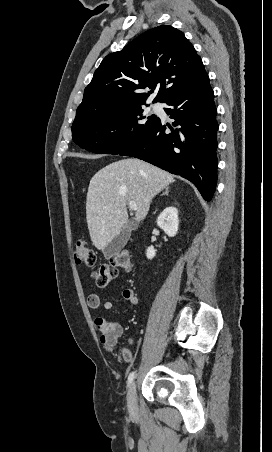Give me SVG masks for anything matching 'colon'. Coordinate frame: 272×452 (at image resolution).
<instances>
[{
    "label": "colon",
    "mask_w": 272,
    "mask_h": 452,
    "mask_svg": "<svg viewBox=\"0 0 272 452\" xmlns=\"http://www.w3.org/2000/svg\"><path fill=\"white\" fill-rule=\"evenodd\" d=\"M74 261L78 266H95V252L87 242L80 240L76 243ZM131 267L132 263L130 253L120 252L112 255L108 263L101 264L94 272L93 277L98 286L106 287L114 281L120 270L130 271ZM120 359L127 362L130 361V352L124 350L120 355Z\"/></svg>",
    "instance_id": "1"
}]
</instances>
